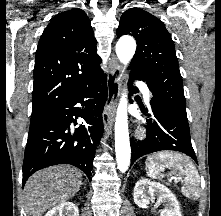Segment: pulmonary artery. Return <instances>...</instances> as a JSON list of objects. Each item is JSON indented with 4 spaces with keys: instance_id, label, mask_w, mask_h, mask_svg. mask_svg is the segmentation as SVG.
Returning a JSON list of instances; mask_svg holds the SVG:
<instances>
[{
    "instance_id": "e3ab8cb5",
    "label": "pulmonary artery",
    "mask_w": 221,
    "mask_h": 216,
    "mask_svg": "<svg viewBox=\"0 0 221 216\" xmlns=\"http://www.w3.org/2000/svg\"><path fill=\"white\" fill-rule=\"evenodd\" d=\"M138 86L141 87V89L143 90V95H144L145 101L149 102V100H150V91L148 90V88L142 83H138Z\"/></svg>"
}]
</instances>
